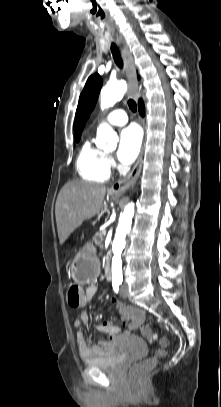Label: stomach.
Listing matches in <instances>:
<instances>
[{
    "label": "stomach",
    "instance_id": "0dacf381",
    "mask_svg": "<svg viewBox=\"0 0 221 407\" xmlns=\"http://www.w3.org/2000/svg\"><path fill=\"white\" fill-rule=\"evenodd\" d=\"M99 262L92 249H81L72 259L71 274L79 283L92 282L98 272Z\"/></svg>",
    "mask_w": 221,
    "mask_h": 407
}]
</instances>
